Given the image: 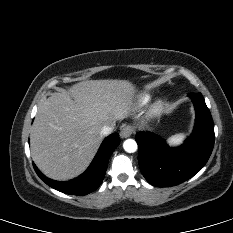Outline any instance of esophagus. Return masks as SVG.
<instances>
[{"instance_id":"esophagus-1","label":"esophagus","mask_w":233,"mask_h":233,"mask_svg":"<svg viewBox=\"0 0 233 233\" xmlns=\"http://www.w3.org/2000/svg\"><path fill=\"white\" fill-rule=\"evenodd\" d=\"M134 127L132 125H125L122 127L120 135L122 138H128L134 133Z\"/></svg>"}]
</instances>
